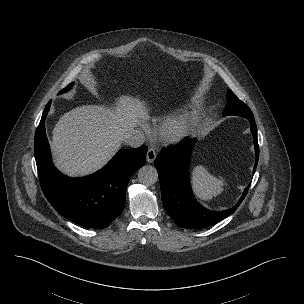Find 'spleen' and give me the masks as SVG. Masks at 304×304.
Wrapping results in <instances>:
<instances>
[{
	"label": "spleen",
	"instance_id": "3e777b00",
	"mask_svg": "<svg viewBox=\"0 0 304 304\" xmlns=\"http://www.w3.org/2000/svg\"><path fill=\"white\" fill-rule=\"evenodd\" d=\"M191 181L196 197L202 201L212 200L221 194L225 185L223 177H214L202 166L193 168Z\"/></svg>",
	"mask_w": 304,
	"mask_h": 304
}]
</instances>
